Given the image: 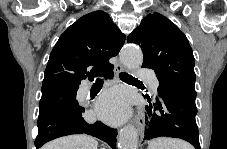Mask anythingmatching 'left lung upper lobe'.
<instances>
[{"label": "left lung upper lobe", "instance_id": "obj_1", "mask_svg": "<svg viewBox=\"0 0 227 149\" xmlns=\"http://www.w3.org/2000/svg\"><path fill=\"white\" fill-rule=\"evenodd\" d=\"M143 51L142 67L154 69L158 94L174 92L194 99L195 59L185 34L159 13L147 15L128 37Z\"/></svg>", "mask_w": 227, "mask_h": 149}]
</instances>
